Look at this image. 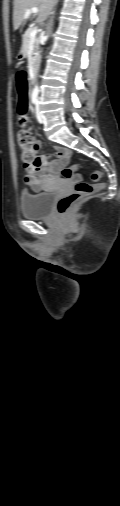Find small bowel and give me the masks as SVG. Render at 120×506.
Masks as SVG:
<instances>
[{
  "label": "small bowel",
  "instance_id": "c3829d8e",
  "mask_svg": "<svg viewBox=\"0 0 120 506\" xmlns=\"http://www.w3.org/2000/svg\"><path fill=\"white\" fill-rule=\"evenodd\" d=\"M36 145L39 147L40 142H36ZM53 154L56 158L54 161H48L44 156H39L38 169L25 176V184L33 191H41L50 180L59 177L61 168L69 161L71 150L65 147H55Z\"/></svg>",
  "mask_w": 120,
  "mask_h": 506
}]
</instances>
